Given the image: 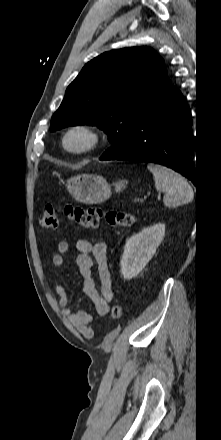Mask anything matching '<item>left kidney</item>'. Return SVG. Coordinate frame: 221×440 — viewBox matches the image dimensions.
<instances>
[{
    "instance_id": "left-kidney-1",
    "label": "left kidney",
    "mask_w": 221,
    "mask_h": 440,
    "mask_svg": "<svg viewBox=\"0 0 221 440\" xmlns=\"http://www.w3.org/2000/svg\"><path fill=\"white\" fill-rule=\"evenodd\" d=\"M165 235V225L155 224L127 239L120 265L124 279L136 277L151 260Z\"/></svg>"
}]
</instances>
